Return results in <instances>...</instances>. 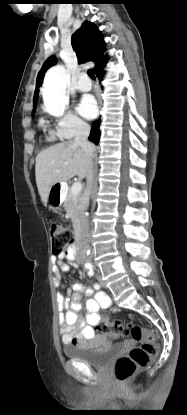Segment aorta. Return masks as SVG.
Segmentation results:
<instances>
[{
  "label": "aorta",
  "mask_w": 187,
  "mask_h": 415,
  "mask_svg": "<svg viewBox=\"0 0 187 415\" xmlns=\"http://www.w3.org/2000/svg\"><path fill=\"white\" fill-rule=\"evenodd\" d=\"M70 75L63 65L51 67L45 74L42 96L46 112L55 117L64 115L69 105L66 87Z\"/></svg>",
  "instance_id": "obj_1"
}]
</instances>
